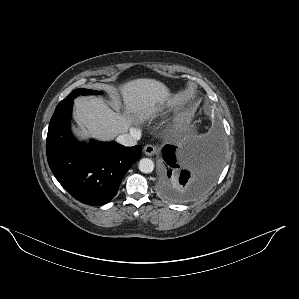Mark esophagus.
Instances as JSON below:
<instances>
[{
    "instance_id": "obj_1",
    "label": "esophagus",
    "mask_w": 299,
    "mask_h": 299,
    "mask_svg": "<svg viewBox=\"0 0 299 299\" xmlns=\"http://www.w3.org/2000/svg\"><path fill=\"white\" fill-rule=\"evenodd\" d=\"M157 152V147L151 144H148L144 147V153L148 156H152L156 154Z\"/></svg>"
}]
</instances>
